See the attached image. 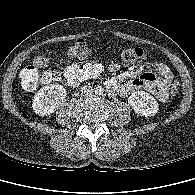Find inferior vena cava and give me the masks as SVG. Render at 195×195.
Returning <instances> with one entry per match:
<instances>
[{"label": "inferior vena cava", "mask_w": 195, "mask_h": 195, "mask_svg": "<svg viewBox=\"0 0 195 195\" xmlns=\"http://www.w3.org/2000/svg\"><path fill=\"white\" fill-rule=\"evenodd\" d=\"M80 92L81 96L83 97L91 96L93 93V88L91 86H83L81 87Z\"/></svg>", "instance_id": "obj_1"}]
</instances>
